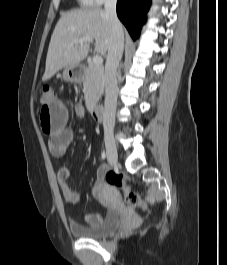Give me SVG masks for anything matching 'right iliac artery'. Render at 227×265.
Returning a JSON list of instances; mask_svg holds the SVG:
<instances>
[{
	"mask_svg": "<svg viewBox=\"0 0 227 265\" xmlns=\"http://www.w3.org/2000/svg\"><path fill=\"white\" fill-rule=\"evenodd\" d=\"M101 157H102L103 160L106 158V154H105L104 151L102 152Z\"/></svg>",
	"mask_w": 227,
	"mask_h": 265,
	"instance_id": "obj_1",
	"label": "right iliac artery"
}]
</instances>
